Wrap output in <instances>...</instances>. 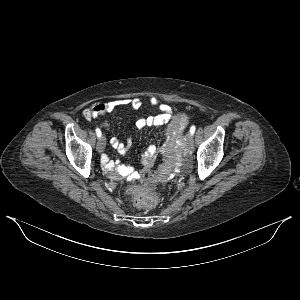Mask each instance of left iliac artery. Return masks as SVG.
<instances>
[{
    "instance_id": "obj_1",
    "label": "left iliac artery",
    "mask_w": 300,
    "mask_h": 300,
    "mask_svg": "<svg viewBox=\"0 0 300 300\" xmlns=\"http://www.w3.org/2000/svg\"><path fill=\"white\" fill-rule=\"evenodd\" d=\"M196 127L193 125L190 128V133L193 135L195 133Z\"/></svg>"
}]
</instances>
